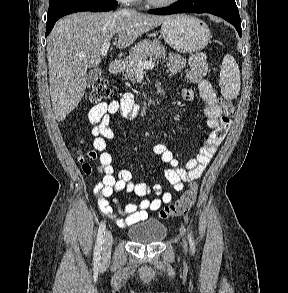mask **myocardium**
<instances>
[{
	"mask_svg": "<svg viewBox=\"0 0 288 293\" xmlns=\"http://www.w3.org/2000/svg\"><path fill=\"white\" fill-rule=\"evenodd\" d=\"M147 4L157 8L168 7L175 4L178 0H164V1H156V0H145Z\"/></svg>",
	"mask_w": 288,
	"mask_h": 293,
	"instance_id": "f54148a6",
	"label": "myocardium"
}]
</instances>
